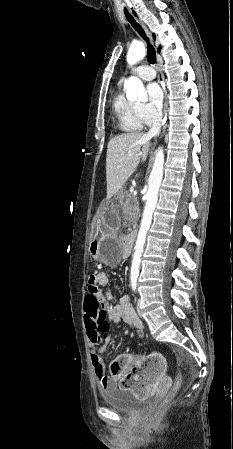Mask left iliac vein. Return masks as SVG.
Masks as SVG:
<instances>
[{"label":"left iliac vein","mask_w":233,"mask_h":449,"mask_svg":"<svg viewBox=\"0 0 233 449\" xmlns=\"http://www.w3.org/2000/svg\"><path fill=\"white\" fill-rule=\"evenodd\" d=\"M139 306H140V299H138V302H137V309H138V311H139Z\"/></svg>","instance_id":"obj_1"}]
</instances>
